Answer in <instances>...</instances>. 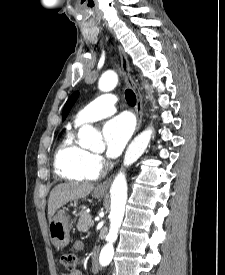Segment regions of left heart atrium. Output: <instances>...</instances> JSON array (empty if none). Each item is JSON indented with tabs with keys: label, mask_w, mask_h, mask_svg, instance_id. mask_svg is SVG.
Segmentation results:
<instances>
[{
	"label": "left heart atrium",
	"mask_w": 225,
	"mask_h": 275,
	"mask_svg": "<svg viewBox=\"0 0 225 275\" xmlns=\"http://www.w3.org/2000/svg\"><path fill=\"white\" fill-rule=\"evenodd\" d=\"M134 129L132 119L125 114L118 115L107 121L103 127L106 141V153L110 158L120 155Z\"/></svg>",
	"instance_id": "1"
}]
</instances>
